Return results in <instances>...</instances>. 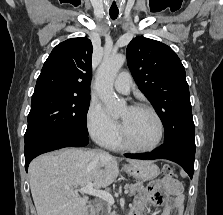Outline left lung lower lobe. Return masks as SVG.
<instances>
[{"label":"left lung lower lobe","instance_id":"left-lung-lower-lobe-1","mask_svg":"<svg viewBox=\"0 0 223 215\" xmlns=\"http://www.w3.org/2000/svg\"><path fill=\"white\" fill-rule=\"evenodd\" d=\"M195 150L196 146L194 140L178 139L164 142L163 145L152 152L125 154V156L133 159H167L176 162L183 167L192 179L194 173Z\"/></svg>","mask_w":223,"mask_h":215}]
</instances>
